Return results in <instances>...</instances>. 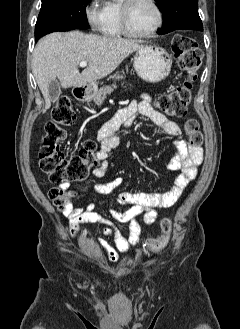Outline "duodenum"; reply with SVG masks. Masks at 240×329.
Listing matches in <instances>:
<instances>
[{"mask_svg": "<svg viewBox=\"0 0 240 329\" xmlns=\"http://www.w3.org/2000/svg\"><path fill=\"white\" fill-rule=\"evenodd\" d=\"M74 95L78 100H86V92L82 86H76L74 89Z\"/></svg>", "mask_w": 240, "mask_h": 329, "instance_id": "duodenum-1", "label": "duodenum"}]
</instances>
